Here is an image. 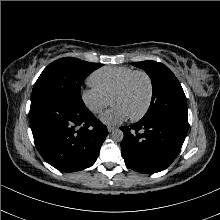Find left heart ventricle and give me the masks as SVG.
<instances>
[{"mask_svg":"<svg viewBox=\"0 0 220 220\" xmlns=\"http://www.w3.org/2000/svg\"><path fill=\"white\" fill-rule=\"evenodd\" d=\"M147 98V81L143 76L137 75L122 93L113 98L112 104L121 106L127 111L129 116H133L144 108Z\"/></svg>","mask_w":220,"mask_h":220,"instance_id":"obj_1","label":"left heart ventricle"}]
</instances>
